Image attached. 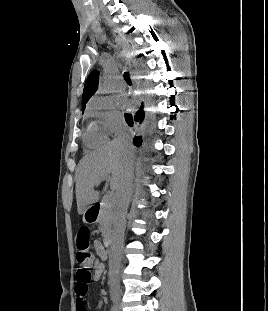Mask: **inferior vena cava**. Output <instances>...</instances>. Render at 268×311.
<instances>
[{
	"mask_svg": "<svg viewBox=\"0 0 268 311\" xmlns=\"http://www.w3.org/2000/svg\"><path fill=\"white\" fill-rule=\"evenodd\" d=\"M118 140L125 145H130V141L125 136H119ZM130 150V149H129ZM132 164L129 165L125 180L121 186V189L116 194V206L113 214V230H112V250L109 255L110 269L116 268V274L121 262L120 248L124 241V231L126 225V214L129 206V202L133 193V177H132ZM111 285L118 287L117 276H110Z\"/></svg>",
	"mask_w": 268,
	"mask_h": 311,
	"instance_id": "1",
	"label": "inferior vena cava"
}]
</instances>
